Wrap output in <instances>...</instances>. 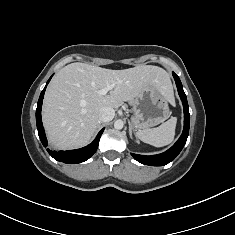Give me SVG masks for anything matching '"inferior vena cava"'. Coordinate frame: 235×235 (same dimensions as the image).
I'll return each mask as SVG.
<instances>
[{
  "label": "inferior vena cava",
  "instance_id": "inferior-vena-cava-1",
  "mask_svg": "<svg viewBox=\"0 0 235 235\" xmlns=\"http://www.w3.org/2000/svg\"><path fill=\"white\" fill-rule=\"evenodd\" d=\"M115 116V110L111 107H102L99 110V120L101 122L111 121Z\"/></svg>",
  "mask_w": 235,
  "mask_h": 235
}]
</instances>
